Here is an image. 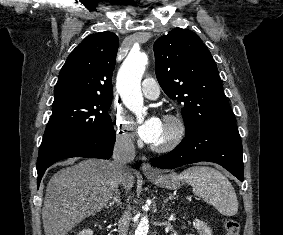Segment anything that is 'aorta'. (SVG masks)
<instances>
[{
	"mask_svg": "<svg viewBox=\"0 0 283 235\" xmlns=\"http://www.w3.org/2000/svg\"><path fill=\"white\" fill-rule=\"evenodd\" d=\"M148 56L143 52L131 51L117 75L116 86L125 106L131 110L141 120L145 113L140 82L146 65ZM149 231V220L147 216L141 218L134 235H147Z\"/></svg>",
	"mask_w": 283,
	"mask_h": 235,
	"instance_id": "obj_1",
	"label": "aorta"
}]
</instances>
